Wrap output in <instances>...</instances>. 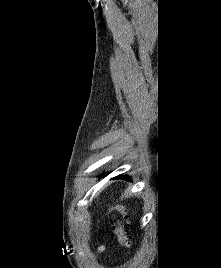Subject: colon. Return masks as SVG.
Here are the masks:
<instances>
[{
  "label": "colon",
  "instance_id": "5ec220e1",
  "mask_svg": "<svg viewBox=\"0 0 221 268\" xmlns=\"http://www.w3.org/2000/svg\"><path fill=\"white\" fill-rule=\"evenodd\" d=\"M109 211H116L119 213L120 217L115 222V233L121 243V245L128 249L131 246V238L127 232V227L129 225V214L125 207L121 205L109 206Z\"/></svg>",
  "mask_w": 221,
  "mask_h": 268
}]
</instances>
